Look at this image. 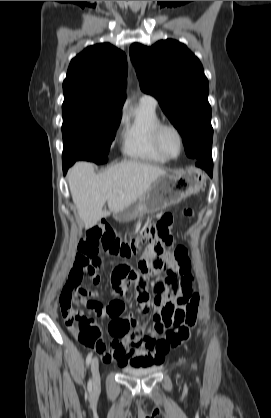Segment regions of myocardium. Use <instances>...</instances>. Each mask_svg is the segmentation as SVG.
I'll return each mask as SVG.
<instances>
[{
  "label": "myocardium",
  "mask_w": 271,
  "mask_h": 418,
  "mask_svg": "<svg viewBox=\"0 0 271 418\" xmlns=\"http://www.w3.org/2000/svg\"><path fill=\"white\" fill-rule=\"evenodd\" d=\"M166 130H171L177 136V139L179 142V150L175 156H171L167 154L162 146L161 136H162V133ZM153 143H154L156 150L167 160H173V159L178 158L181 155L183 151V147H184V140H183V135L181 131L179 130L177 126L171 123H159L155 127L153 131Z\"/></svg>",
  "instance_id": "obj_1"
}]
</instances>
